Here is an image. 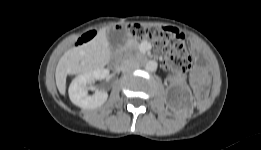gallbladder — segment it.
I'll list each match as a JSON object with an SVG mask.
<instances>
[{
  "mask_svg": "<svg viewBox=\"0 0 261 150\" xmlns=\"http://www.w3.org/2000/svg\"><path fill=\"white\" fill-rule=\"evenodd\" d=\"M107 40L109 43L110 49L113 51L116 49L117 46L123 43V33L117 30H107L106 31Z\"/></svg>",
  "mask_w": 261,
  "mask_h": 150,
  "instance_id": "obj_1",
  "label": "gallbladder"
}]
</instances>
